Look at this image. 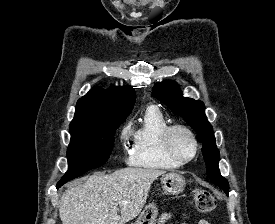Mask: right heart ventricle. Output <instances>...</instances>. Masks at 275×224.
<instances>
[{"instance_id": "right-heart-ventricle-1", "label": "right heart ventricle", "mask_w": 275, "mask_h": 224, "mask_svg": "<svg viewBox=\"0 0 275 224\" xmlns=\"http://www.w3.org/2000/svg\"><path fill=\"white\" fill-rule=\"evenodd\" d=\"M168 126V121L156 107H148L138 127L131 131L129 164L144 169L179 168L181 164L170 158L163 149L162 135Z\"/></svg>"}]
</instances>
